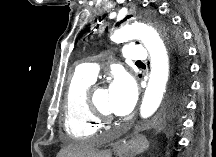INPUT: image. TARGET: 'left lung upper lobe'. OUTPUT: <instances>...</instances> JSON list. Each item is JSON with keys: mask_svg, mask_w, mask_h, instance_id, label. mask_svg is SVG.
Returning a JSON list of instances; mask_svg holds the SVG:
<instances>
[{"mask_svg": "<svg viewBox=\"0 0 216 157\" xmlns=\"http://www.w3.org/2000/svg\"><path fill=\"white\" fill-rule=\"evenodd\" d=\"M131 17L132 15L126 16L122 21L118 22L116 25H119L120 23L126 21ZM150 19L165 39L170 56L172 77L175 72L180 81L184 82L188 72V62L186 57L187 52L185 46L182 43V37L180 33L176 31L174 28H172L168 21L159 19L155 15H151Z\"/></svg>", "mask_w": 216, "mask_h": 157, "instance_id": "1", "label": "left lung upper lobe"}]
</instances>
